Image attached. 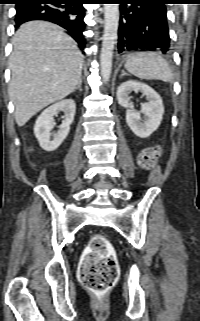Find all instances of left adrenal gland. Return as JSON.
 Listing matches in <instances>:
<instances>
[{
    "instance_id": "left-adrenal-gland-1",
    "label": "left adrenal gland",
    "mask_w": 200,
    "mask_h": 321,
    "mask_svg": "<svg viewBox=\"0 0 200 321\" xmlns=\"http://www.w3.org/2000/svg\"><path fill=\"white\" fill-rule=\"evenodd\" d=\"M124 75H128L124 70L121 71L120 78H122Z\"/></svg>"
}]
</instances>
